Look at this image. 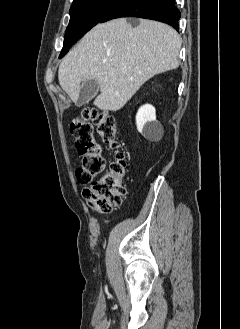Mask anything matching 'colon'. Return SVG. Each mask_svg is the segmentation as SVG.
Masks as SVG:
<instances>
[{"label": "colon", "instance_id": "5ec220e1", "mask_svg": "<svg viewBox=\"0 0 240 329\" xmlns=\"http://www.w3.org/2000/svg\"><path fill=\"white\" fill-rule=\"evenodd\" d=\"M91 122L95 123L103 142L118 153L106 172L97 179L95 177L104 169V160L100 146L93 138ZM70 132L80 157L76 178L80 183H91L84 191L86 202L98 213L112 212L122 204L126 193L127 166L124 154L119 151L115 116L107 110L85 108L79 117L72 120Z\"/></svg>", "mask_w": 240, "mask_h": 329}]
</instances>
